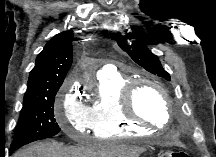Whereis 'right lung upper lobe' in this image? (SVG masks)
<instances>
[{
	"mask_svg": "<svg viewBox=\"0 0 216 157\" xmlns=\"http://www.w3.org/2000/svg\"><path fill=\"white\" fill-rule=\"evenodd\" d=\"M73 33L55 35L37 56L29 75L24 99L58 91L72 64Z\"/></svg>",
	"mask_w": 216,
	"mask_h": 157,
	"instance_id": "obj_1",
	"label": "right lung upper lobe"
}]
</instances>
